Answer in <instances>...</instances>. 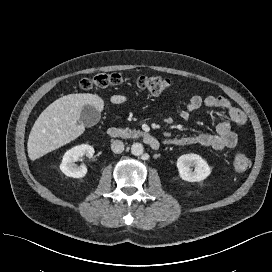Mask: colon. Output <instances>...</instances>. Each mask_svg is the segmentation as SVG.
Instances as JSON below:
<instances>
[{"instance_id": "colon-1", "label": "colon", "mask_w": 272, "mask_h": 272, "mask_svg": "<svg viewBox=\"0 0 272 272\" xmlns=\"http://www.w3.org/2000/svg\"><path fill=\"white\" fill-rule=\"evenodd\" d=\"M122 84H131L153 95H160L171 89L173 82L162 76H139L125 78L118 73L98 74L80 81V88L84 91L107 90ZM250 167V159L243 153H238L233 159V168L237 173H243Z\"/></svg>"}]
</instances>
